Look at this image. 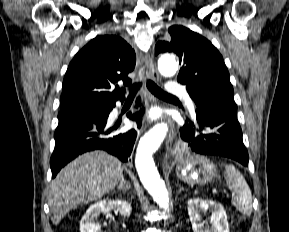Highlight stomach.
I'll use <instances>...</instances> for the list:
<instances>
[{"label":"stomach","instance_id":"0dacf381","mask_svg":"<svg viewBox=\"0 0 289 232\" xmlns=\"http://www.w3.org/2000/svg\"><path fill=\"white\" fill-rule=\"evenodd\" d=\"M193 166L198 165L196 172L201 175L196 181L192 179L191 174L185 175L181 167L177 168V176L187 183H205L217 176V168L205 158H196L191 160ZM187 170V168H185Z\"/></svg>","mask_w":289,"mask_h":232}]
</instances>
